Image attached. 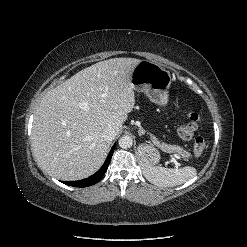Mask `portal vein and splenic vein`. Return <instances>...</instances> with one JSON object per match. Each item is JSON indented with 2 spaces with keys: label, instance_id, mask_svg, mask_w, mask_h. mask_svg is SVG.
<instances>
[{
  "label": "portal vein and splenic vein",
  "instance_id": "obj_1",
  "mask_svg": "<svg viewBox=\"0 0 247 247\" xmlns=\"http://www.w3.org/2000/svg\"><path fill=\"white\" fill-rule=\"evenodd\" d=\"M173 162H175L176 165H178V163H176V159H181V157L178 154H173Z\"/></svg>",
  "mask_w": 247,
  "mask_h": 247
}]
</instances>
